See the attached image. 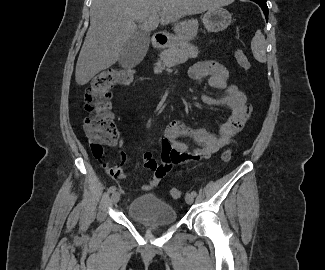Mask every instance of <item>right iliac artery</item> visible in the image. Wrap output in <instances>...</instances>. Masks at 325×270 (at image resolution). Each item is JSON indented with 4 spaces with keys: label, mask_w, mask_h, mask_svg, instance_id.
I'll list each match as a JSON object with an SVG mask.
<instances>
[{
    "label": "right iliac artery",
    "mask_w": 325,
    "mask_h": 270,
    "mask_svg": "<svg viewBox=\"0 0 325 270\" xmlns=\"http://www.w3.org/2000/svg\"><path fill=\"white\" fill-rule=\"evenodd\" d=\"M116 190V187L115 186H111L109 189H108V193H113L115 192Z\"/></svg>",
    "instance_id": "right-iliac-artery-1"
}]
</instances>
